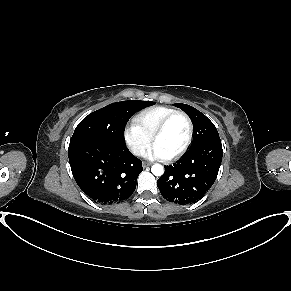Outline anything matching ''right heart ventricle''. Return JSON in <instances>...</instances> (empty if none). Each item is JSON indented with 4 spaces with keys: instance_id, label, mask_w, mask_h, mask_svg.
I'll list each match as a JSON object with an SVG mask.
<instances>
[{
    "instance_id": "e07e8e85",
    "label": "right heart ventricle",
    "mask_w": 291,
    "mask_h": 291,
    "mask_svg": "<svg viewBox=\"0 0 291 291\" xmlns=\"http://www.w3.org/2000/svg\"><path fill=\"white\" fill-rule=\"evenodd\" d=\"M175 111L177 110L171 107L156 106L141 111L135 116L134 120L149 136L152 137L162 120Z\"/></svg>"
}]
</instances>
